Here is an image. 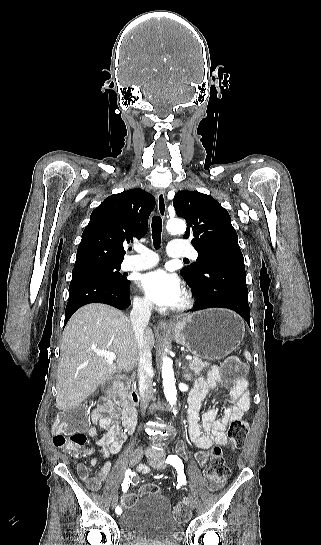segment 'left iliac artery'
Returning a JSON list of instances; mask_svg holds the SVG:
<instances>
[{
  "label": "left iliac artery",
  "instance_id": "left-iliac-artery-1",
  "mask_svg": "<svg viewBox=\"0 0 321 545\" xmlns=\"http://www.w3.org/2000/svg\"><path fill=\"white\" fill-rule=\"evenodd\" d=\"M165 462L176 468L178 473V482L186 484V476L184 474V466L182 460L177 455H169Z\"/></svg>",
  "mask_w": 321,
  "mask_h": 545
}]
</instances>
